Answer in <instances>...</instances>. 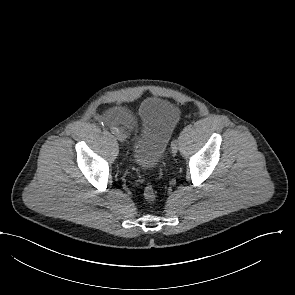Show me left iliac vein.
Wrapping results in <instances>:
<instances>
[{
	"mask_svg": "<svg viewBox=\"0 0 295 295\" xmlns=\"http://www.w3.org/2000/svg\"><path fill=\"white\" fill-rule=\"evenodd\" d=\"M177 151H178L177 144L171 145V153H172V155H176Z\"/></svg>",
	"mask_w": 295,
	"mask_h": 295,
	"instance_id": "left-iliac-vein-1",
	"label": "left iliac vein"
}]
</instances>
